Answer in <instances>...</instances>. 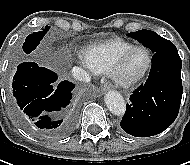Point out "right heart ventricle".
<instances>
[{
	"label": "right heart ventricle",
	"mask_w": 190,
	"mask_h": 165,
	"mask_svg": "<svg viewBox=\"0 0 190 165\" xmlns=\"http://www.w3.org/2000/svg\"><path fill=\"white\" fill-rule=\"evenodd\" d=\"M133 46L134 43L119 37L95 43L85 51V62L93 73L109 75L121 54Z\"/></svg>",
	"instance_id": "right-heart-ventricle-1"
}]
</instances>
